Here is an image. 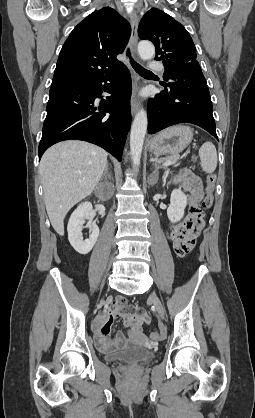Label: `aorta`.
<instances>
[{
  "instance_id": "1",
  "label": "aorta",
  "mask_w": 255,
  "mask_h": 418,
  "mask_svg": "<svg viewBox=\"0 0 255 418\" xmlns=\"http://www.w3.org/2000/svg\"><path fill=\"white\" fill-rule=\"evenodd\" d=\"M138 52L142 59L147 60L154 56L155 48L149 41H141L138 44ZM147 123V113L144 109H141L134 118L130 133V154L134 167L140 165Z\"/></svg>"
}]
</instances>
